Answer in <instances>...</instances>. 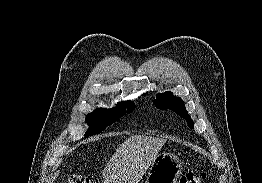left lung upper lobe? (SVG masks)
<instances>
[{"mask_svg":"<svg viewBox=\"0 0 262 183\" xmlns=\"http://www.w3.org/2000/svg\"><path fill=\"white\" fill-rule=\"evenodd\" d=\"M154 103L159 109H171L175 111L178 115L187 121L190 128L194 127L193 121L185 109L184 101L180 97H175L170 92H165L162 94L159 93L157 94Z\"/></svg>","mask_w":262,"mask_h":183,"instance_id":"1","label":"left lung upper lobe"}]
</instances>
